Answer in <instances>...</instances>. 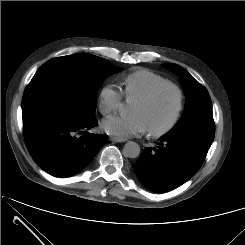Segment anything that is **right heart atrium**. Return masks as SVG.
<instances>
[{
    "instance_id": "obj_1",
    "label": "right heart atrium",
    "mask_w": 245,
    "mask_h": 245,
    "mask_svg": "<svg viewBox=\"0 0 245 245\" xmlns=\"http://www.w3.org/2000/svg\"><path fill=\"white\" fill-rule=\"evenodd\" d=\"M122 102L121 93L112 85H104L98 94V107L102 114L109 115L116 111Z\"/></svg>"
}]
</instances>
